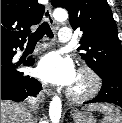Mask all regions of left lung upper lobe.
<instances>
[{"mask_svg": "<svg viewBox=\"0 0 122 123\" xmlns=\"http://www.w3.org/2000/svg\"><path fill=\"white\" fill-rule=\"evenodd\" d=\"M69 13L74 30L80 28V56L97 74L122 71V48L116 22L106 0H51Z\"/></svg>", "mask_w": 122, "mask_h": 123, "instance_id": "obj_1", "label": "left lung upper lobe"}]
</instances>
